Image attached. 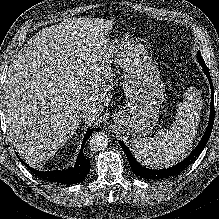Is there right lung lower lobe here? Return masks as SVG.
Returning a JSON list of instances; mask_svg holds the SVG:
<instances>
[{
  "mask_svg": "<svg viewBox=\"0 0 219 219\" xmlns=\"http://www.w3.org/2000/svg\"><path fill=\"white\" fill-rule=\"evenodd\" d=\"M94 129L89 130L82 142L80 152L77 157V161L74 167L68 168L62 171H38L30 166H28L20 157L19 160L28 167V169L34 173L39 178L46 181L57 182L61 184H77L81 182L88 174L90 170V161L83 154V147L87 139L90 137Z\"/></svg>",
  "mask_w": 219,
  "mask_h": 219,
  "instance_id": "1",
  "label": "right lung lower lobe"
}]
</instances>
